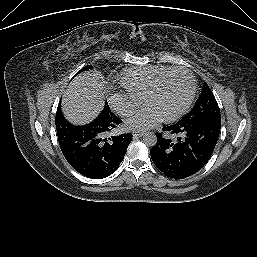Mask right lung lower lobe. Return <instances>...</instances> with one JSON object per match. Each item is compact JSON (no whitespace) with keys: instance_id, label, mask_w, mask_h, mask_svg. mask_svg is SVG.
<instances>
[{"instance_id":"right-lung-lower-lobe-1","label":"right lung lower lobe","mask_w":257,"mask_h":257,"mask_svg":"<svg viewBox=\"0 0 257 257\" xmlns=\"http://www.w3.org/2000/svg\"><path fill=\"white\" fill-rule=\"evenodd\" d=\"M121 122L115 114L103 110L88 125L56 126L59 145L68 163L91 179H102L114 173L132 140V134L108 135Z\"/></svg>"}]
</instances>
